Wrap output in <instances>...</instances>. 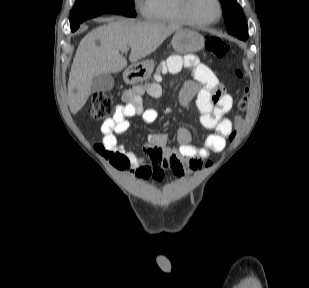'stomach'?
Here are the masks:
<instances>
[{
	"mask_svg": "<svg viewBox=\"0 0 309 288\" xmlns=\"http://www.w3.org/2000/svg\"><path fill=\"white\" fill-rule=\"evenodd\" d=\"M172 47L177 53H196L203 49L204 38L198 32L187 29H178L172 38ZM154 69L153 60H144L127 68L123 74L125 82L136 84L150 78Z\"/></svg>",
	"mask_w": 309,
	"mask_h": 288,
	"instance_id": "1",
	"label": "stomach"
}]
</instances>
